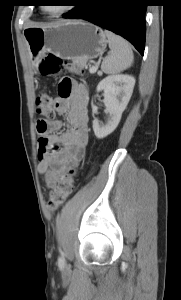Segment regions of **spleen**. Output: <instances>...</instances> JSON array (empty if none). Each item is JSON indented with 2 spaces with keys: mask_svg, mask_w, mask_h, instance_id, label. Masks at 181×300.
I'll list each match as a JSON object with an SVG mask.
<instances>
[{
  "mask_svg": "<svg viewBox=\"0 0 181 300\" xmlns=\"http://www.w3.org/2000/svg\"><path fill=\"white\" fill-rule=\"evenodd\" d=\"M105 34L108 38L110 53L103 59L101 70L106 74L120 73L132 65L133 51L129 43L119 35L108 30H105Z\"/></svg>",
  "mask_w": 181,
  "mask_h": 300,
  "instance_id": "obj_1",
  "label": "spleen"
}]
</instances>
